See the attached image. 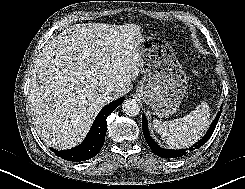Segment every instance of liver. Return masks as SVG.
<instances>
[{
	"instance_id": "1",
	"label": "liver",
	"mask_w": 245,
	"mask_h": 189,
	"mask_svg": "<svg viewBox=\"0 0 245 189\" xmlns=\"http://www.w3.org/2000/svg\"><path fill=\"white\" fill-rule=\"evenodd\" d=\"M136 24H75L46 45L34 64L30 108L40 138L51 147L80 143L102 107L121 97L139 74ZM107 88L114 89L106 99Z\"/></svg>"
}]
</instances>
